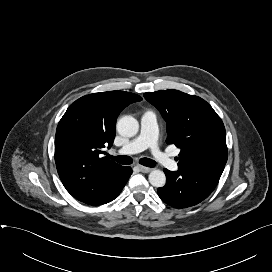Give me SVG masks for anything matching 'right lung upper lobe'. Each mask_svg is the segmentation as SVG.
<instances>
[{
    "label": "right lung upper lobe",
    "instance_id": "1",
    "mask_svg": "<svg viewBox=\"0 0 272 272\" xmlns=\"http://www.w3.org/2000/svg\"><path fill=\"white\" fill-rule=\"evenodd\" d=\"M142 98L109 91L83 96L70 105L55 136V163L66 190L75 198L116 176L123 166L101 157L113 144L120 112Z\"/></svg>",
    "mask_w": 272,
    "mask_h": 272
}]
</instances>
